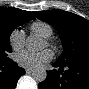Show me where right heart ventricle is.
Segmentation results:
<instances>
[{
	"label": "right heart ventricle",
	"instance_id": "e07e8e85",
	"mask_svg": "<svg viewBox=\"0 0 89 89\" xmlns=\"http://www.w3.org/2000/svg\"><path fill=\"white\" fill-rule=\"evenodd\" d=\"M31 30L35 34H37L43 38H50L53 34V30H52L51 26L44 22L33 23L31 26Z\"/></svg>",
	"mask_w": 89,
	"mask_h": 89
}]
</instances>
